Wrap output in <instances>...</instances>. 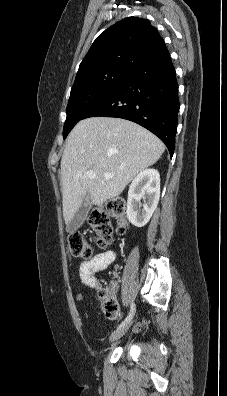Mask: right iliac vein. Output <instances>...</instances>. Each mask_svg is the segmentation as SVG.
<instances>
[{"label": "right iliac vein", "instance_id": "63e3f726", "mask_svg": "<svg viewBox=\"0 0 227 396\" xmlns=\"http://www.w3.org/2000/svg\"><path fill=\"white\" fill-rule=\"evenodd\" d=\"M131 325V322H128L126 325H124L123 327L117 329L116 331H114L111 336H110V341L114 342L116 340H118L119 338H121L129 329Z\"/></svg>", "mask_w": 227, "mask_h": 396}]
</instances>
